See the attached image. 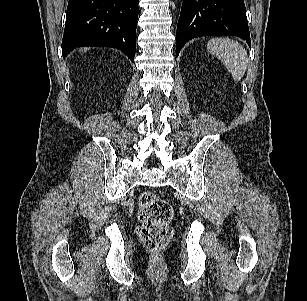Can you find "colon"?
<instances>
[{
	"mask_svg": "<svg viewBox=\"0 0 307 301\" xmlns=\"http://www.w3.org/2000/svg\"><path fill=\"white\" fill-rule=\"evenodd\" d=\"M171 204L153 192H144L138 200V219L140 226L137 235L151 251L164 248L170 241L173 230Z\"/></svg>",
	"mask_w": 307,
	"mask_h": 301,
	"instance_id": "colon-1",
	"label": "colon"
}]
</instances>
